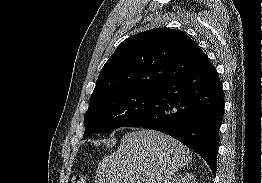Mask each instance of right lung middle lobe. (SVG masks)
<instances>
[{
    "instance_id": "dd1d6c3e",
    "label": "right lung middle lobe",
    "mask_w": 262,
    "mask_h": 183,
    "mask_svg": "<svg viewBox=\"0 0 262 183\" xmlns=\"http://www.w3.org/2000/svg\"><path fill=\"white\" fill-rule=\"evenodd\" d=\"M156 94L157 89L132 88L90 99L84 116V137L125 126L149 106Z\"/></svg>"
}]
</instances>
